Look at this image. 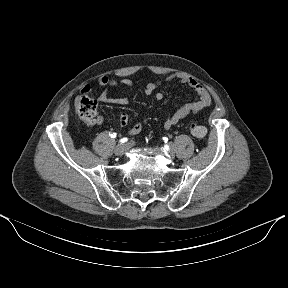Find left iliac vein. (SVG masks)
I'll return each instance as SVG.
<instances>
[{"instance_id": "1", "label": "left iliac vein", "mask_w": 288, "mask_h": 288, "mask_svg": "<svg viewBox=\"0 0 288 288\" xmlns=\"http://www.w3.org/2000/svg\"><path fill=\"white\" fill-rule=\"evenodd\" d=\"M171 147H172V144H171ZM170 155L173 157V152H172V150L170 149Z\"/></svg>"}]
</instances>
